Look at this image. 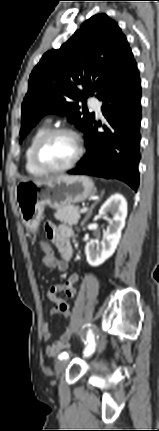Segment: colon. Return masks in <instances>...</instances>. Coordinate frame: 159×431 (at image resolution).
I'll return each mask as SVG.
<instances>
[{
  "instance_id": "obj_1",
  "label": "colon",
  "mask_w": 159,
  "mask_h": 431,
  "mask_svg": "<svg viewBox=\"0 0 159 431\" xmlns=\"http://www.w3.org/2000/svg\"><path fill=\"white\" fill-rule=\"evenodd\" d=\"M39 250L43 251V254L47 257V259H52L54 255V249L51 246L50 241L47 240L46 237H41L39 242ZM64 318L69 319L70 318V312L69 310L64 311Z\"/></svg>"
}]
</instances>
